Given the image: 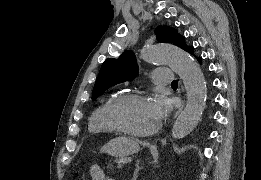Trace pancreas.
<instances>
[{
  "label": "pancreas",
  "mask_w": 261,
  "mask_h": 180,
  "mask_svg": "<svg viewBox=\"0 0 261 180\" xmlns=\"http://www.w3.org/2000/svg\"><path fill=\"white\" fill-rule=\"evenodd\" d=\"M104 167H106L107 170H114L115 166L113 165L112 159H107L106 162H104Z\"/></svg>",
  "instance_id": "1"
}]
</instances>
